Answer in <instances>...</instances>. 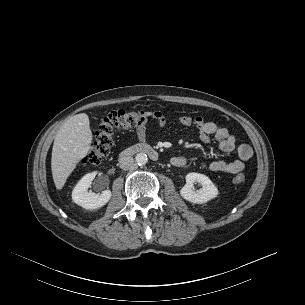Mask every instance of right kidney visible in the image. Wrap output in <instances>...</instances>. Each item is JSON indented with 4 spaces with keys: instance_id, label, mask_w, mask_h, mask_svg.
I'll use <instances>...</instances> for the list:
<instances>
[{
    "instance_id": "obj_1",
    "label": "right kidney",
    "mask_w": 305,
    "mask_h": 305,
    "mask_svg": "<svg viewBox=\"0 0 305 305\" xmlns=\"http://www.w3.org/2000/svg\"><path fill=\"white\" fill-rule=\"evenodd\" d=\"M96 176L95 172L86 174L81 178L72 191L73 201L85 209L93 210L104 206L111 198V191L104 190L101 194L88 191Z\"/></svg>"
}]
</instances>
